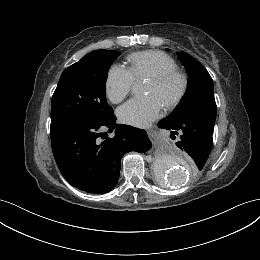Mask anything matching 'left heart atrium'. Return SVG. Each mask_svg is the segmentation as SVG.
<instances>
[{
    "label": "left heart atrium",
    "instance_id": "obj_1",
    "mask_svg": "<svg viewBox=\"0 0 260 260\" xmlns=\"http://www.w3.org/2000/svg\"><path fill=\"white\" fill-rule=\"evenodd\" d=\"M162 108L163 103L155 95L132 98L119 108L118 117L126 124L146 126L159 116Z\"/></svg>",
    "mask_w": 260,
    "mask_h": 260
}]
</instances>
